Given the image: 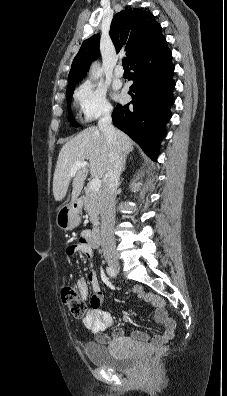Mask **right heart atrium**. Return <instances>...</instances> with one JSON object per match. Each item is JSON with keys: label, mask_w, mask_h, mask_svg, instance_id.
Instances as JSON below:
<instances>
[{"label": "right heart atrium", "mask_w": 227, "mask_h": 396, "mask_svg": "<svg viewBox=\"0 0 227 396\" xmlns=\"http://www.w3.org/2000/svg\"><path fill=\"white\" fill-rule=\"evenodd\" d=\"M74 97L83 119L87 122L109 116L112 112L106 89L99 83L89 80L83 82L76 90Z\"/></svg>", "instance_id": "right-heart-atrium-1"}]
</instances>
